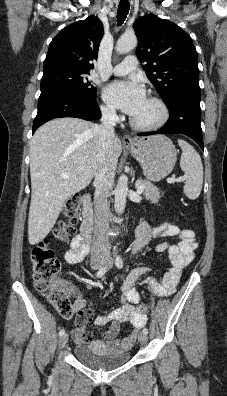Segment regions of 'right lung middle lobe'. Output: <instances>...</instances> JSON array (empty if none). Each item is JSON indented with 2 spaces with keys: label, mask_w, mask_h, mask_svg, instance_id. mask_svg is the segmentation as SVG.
Returning a JSON list of instances; mask_svg holds the SVG:
<instances>
[{
  "label": "right lung middle lobe",
  "mask_w": 227,
  "mask_h": 396,
  "mask_svg": "<svg viewBox=\"0 0 227 396\" xmlns=\"http://www.w3.org/2000/svg\"><path fill=\"white\" fill-rule=\"evenodd\" d=\"M87 75H89L87 71L68 68L45 70L41 79V94L63 91L95 100L97 89L88 80Z\"/></svg>",
  "instance_id": "1"
}]
</instances>
